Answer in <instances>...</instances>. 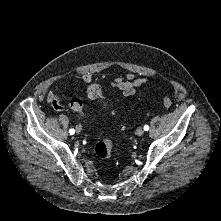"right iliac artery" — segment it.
<instances>
[{
  "label": "right iliac artery",
  "instance_id": "right-iliac-artery-1",
  "mask_svg": "<svg viewBox=\"0 0 221 221\" xmlns=\"http://www.w3.org/2000/svg\"><path fill=\"white\" fill-rule=\"evenodd\" d=\"M69 133H70V135H73L75 133V130L74 129H70Z\"/></svg>",
  "mask_w": 221,
  "mask_h": 221
}]
</instances>
